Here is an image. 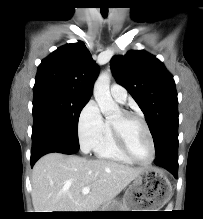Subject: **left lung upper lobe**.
Segmentation results:
<instances>
[{
    "mask_svg": "<svg viewBox=\"0 0 203 219\" xmlns=\"http://www.w3.org/2000/svg\"><path fill=\"white\" fill-rule=\"evenodd\" d=\"M111 68L118 83L137 102L150 127L156 156L178 143V99L173 76L155 56L141 50L115 55Z\"/></svg>",
    "mask_w": 203,
    "mask_h": 219,
    "instance_id": "1",
    "label": "left lung upper lobe"
}]
</instances>
